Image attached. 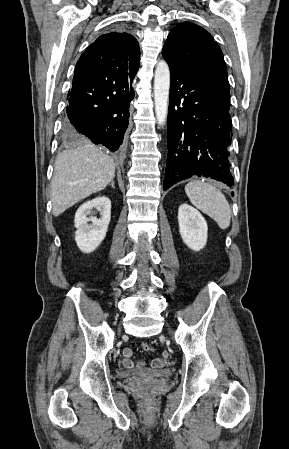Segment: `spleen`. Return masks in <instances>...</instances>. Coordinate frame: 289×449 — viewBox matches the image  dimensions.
Instances as JSON below:
<instances>
[{
  "mask_svg": "<svg viewBox=\"0 0 289 449\" xmlns=\"http://www.w3.org/2000/svg\"><path fill=\"white\" fill-rule=\"evenodd\" d=\"M190 202L225 230L231 221V209L223 193L213 185L193 180L185 186Z\"/></svg>",
  "mask_w": 289,
  "mask_h": 449,
  "instance_id": "obj_1",
  "label": "spleen"
}]
</instances>
